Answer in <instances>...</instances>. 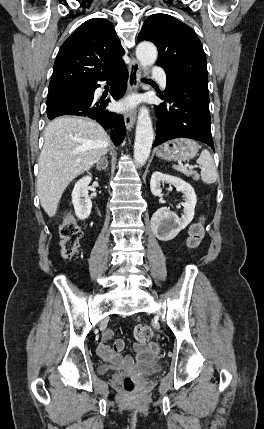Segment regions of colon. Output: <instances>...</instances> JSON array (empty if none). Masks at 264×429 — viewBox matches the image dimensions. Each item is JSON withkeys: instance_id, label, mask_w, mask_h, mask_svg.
Wrapping results in <instances>:
<instances>
[{"instance_id": "colon-1", "label": "colon", "mask_w": 264, "mask_h": 429, "mask_svg": "<svg viewBox=\"0 0 264 429\" xmlns=\"http://www.w3.org/2000/svg\"><path fill=\"white\" fill-rule=\"evenodd\" d=\"M204 236V228L201 222L191 226L188 237L190 248H196ZM60 248L63 258L69 259L78 251L82 230L76 220L68 216L59 227ZM153 332L147 325H138L133 330V337L137 344H147L152 339ZM123 388L128 392L136 390V382L131 377L123 379Z\"/></svg>"}]
</instances>
